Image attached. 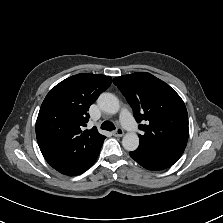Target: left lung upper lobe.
Instances as JSON below:
<instances>
[{
    "label": "left lung upper lobe",
    "instance_id": "1",
    "mask_svg": "<svg viewBox=\"0 0 223 223\" xmlns=\"http://www.w3.org/2000/svg\"><path fill=\"white\" fill-rule=\"evenodd\" d=\"M119 88L133 109L144 134H139L138 152L177 161L189 136L188 114L180 96L165 82L150 73L116 77Z\"/></svg>",
    "mask_w": 223,
    "mask_h": 223
}]
</instances>
